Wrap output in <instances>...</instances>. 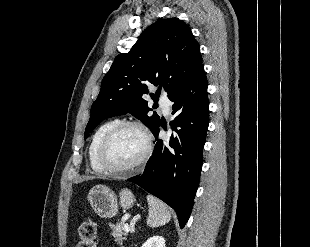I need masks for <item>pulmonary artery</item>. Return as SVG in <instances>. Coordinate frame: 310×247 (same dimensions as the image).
Wrapping results in <instances>:
<instances>
[{"label": "pulmonary artery", "mask_w": 310, "mask_h": 247, "mask_svg": "<svg viewBox=\"0 0 310 247\" xmlns=\"http://www.w3.org/2000/svg\"><path fill=\"white\" fill-rule=\"evenodd\" d=\"M160 106L164 112V114L168 115L171 111L172 103L170 99L166 96H162L159 100Z\"/></svg>", "instance_id": "1"}]
</instances>
